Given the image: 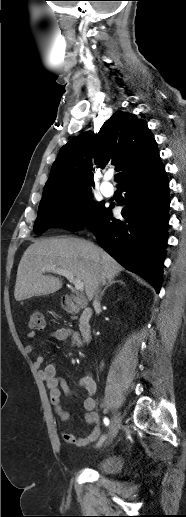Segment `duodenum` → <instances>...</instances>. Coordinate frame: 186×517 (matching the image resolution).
Returning a JSON list of instances; mask_svg holds the SVG:
<instances>
[{"instance_id": "410a0bca", "label": "duodenum", "mask_w": 186, "mask_h": 517, "mask_svg": "<svg viewBox=\"0 0 186 517\" xmlns=\"http://www.w3.org/2000/svg\"><path fill=\"white\" fill-rule=\"evenodd\" d=\"M63 302L65 306V310L68 313H76L80 312V316L78 319V327L79 332L85 341H88L91 338L92 328H91V317L93 315V309L89 306L79 305L75 301L71 299L70 296L66 295L63 297Z\"/></svg>"}]
</instances>
